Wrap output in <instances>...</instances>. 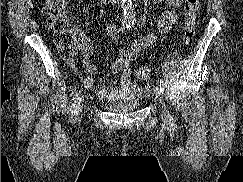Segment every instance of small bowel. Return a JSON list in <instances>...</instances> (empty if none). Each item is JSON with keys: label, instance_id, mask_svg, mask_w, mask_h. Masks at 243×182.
Returning <instances> with one entry per match:
<instances>
[{"label": "small bowel", "instance_id": "c3829d8e", "mask_svg": "<svg viewBox=\"0 0 243 182\" xmlns=\"http://www.w3.org/2000/svg\"><path fill=\"white\" fill-rule=\"evenodd\" d=\"M154 2H164L167 5V9L162 13L159 20V31L161 33H166L176 22V9L181 5L182 0H154ZM115 30V25H109L106 28L107 34L111 36L113 41H116ZM154 40L155 35L153 33H147L132 41L128 46L120 49L117 56L110 62L111 69L115 73L121 74L118 85L115 87H98L94 79V76L97 74V69L91 62L92 44L87 36L80 35L77 49L82 54L83 67L88 73V75L83 78L84 87L87 90L95 92L99 99L107 102H115L136 94L139 91V85L137 81L132 80L130 64L135 61L140 53L147 49ZM70 64L72 68L80 74L73 59L70 60Z\"/></svg>", "mask_w": 243, "mask_h": 182}]
</instances>
